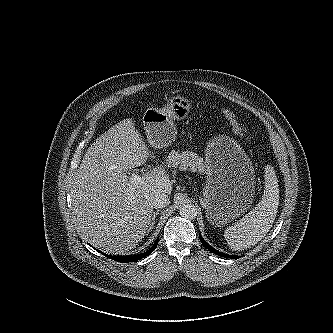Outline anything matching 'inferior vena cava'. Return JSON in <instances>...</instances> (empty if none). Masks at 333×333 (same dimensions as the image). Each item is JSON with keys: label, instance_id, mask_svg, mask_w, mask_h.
Listing matches in <instances>:
<instances>
[{"label": "inferior vena cava", "instance_id": "inferior-vena-cava-1", "mask_svg": "<svg viewBox=\"0 0 333 333\" xmlns=\"http://www.w3.org/2000/svg\"><path fill=\"white\" fill-rule=\"evenodd\" d=\"M169 203L170 200L168 198V195L163 192L155 194L152 199L153 207L156 209L164 208L169 205Z\"/></svg>", "mask_w": 333, "mask_h": 333}]
</instances>
